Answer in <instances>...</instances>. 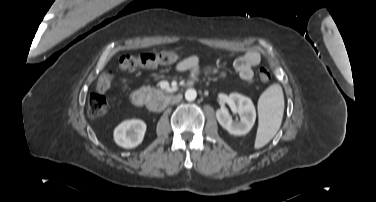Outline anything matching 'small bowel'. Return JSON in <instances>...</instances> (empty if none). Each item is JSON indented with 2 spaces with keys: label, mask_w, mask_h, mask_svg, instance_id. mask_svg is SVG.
Here are the masks:
<instances>
[{
  "label": "small bowel",
  "mask_w": 376,
  "mask_h": 202,
  "mask_svg": "<svg viewBox=\"0 0 376 202\" xmlns=\"http://www.w3.org/2000/svg\"><path fill=\"white\" fill-rule=\"evenodd\" d=\"M261 53L257 50H249L244 52L234 61V68L238 72L241 79L249 81L253 77V68L261 62ZM178 72H189V82H193L198 79L201 70L199 65V58L196 55H192L181 62L177 63L174 67ZM218 76H224V73L217 71Z\"/></svg>",
  "instance_id": "1"
}]
</instances>
